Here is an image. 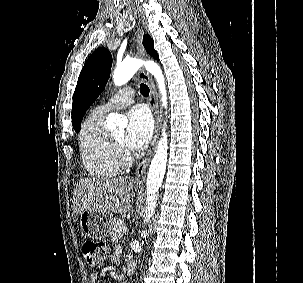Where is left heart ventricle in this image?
I'll return each instance as SVG.
<instances>
[{
    "label": "left heart ventricle",
    "mask_w": 303,
    "mask_h": 283,
    "mask_svg": "<svg viewBox=\"0 0 303 283\" xmlns=\"http://www.w3.org/2000/svg\"><path fill=\"white\" fill-rule=\"evenodd\" d=\"M115 139H117L118 141L122 142L123 143V140H124V133L123 132H120V133H117L113 136Z\"/></svg>",
    "instance_id": "b2bd125f"
}]
</instances>
